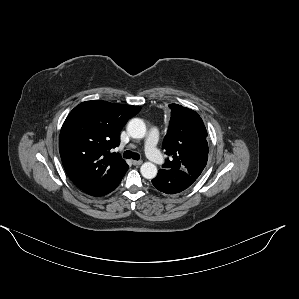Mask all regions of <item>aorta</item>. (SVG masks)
I'll list each match as a JSON object with an SVG mask.
<instances>
[{"mask_svg":"<svg viewBox=\"0 0 299 299\" xmlns=\"http://www.w3.org/2000/svg\"><path fill=\"white\" fill-rule=\"evenodd\" d=\"M128 134L135 139H142L146 134V125L142 119L133 118L127 125ZM142 176L146 179H153L157 175V167L151 162H145L140 167Z\"/></svg>","mask_w":299,"mask_h":299,"instance_id":"obj_1","label":"aorta"}]
</instances>
